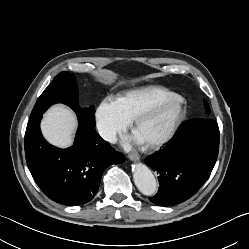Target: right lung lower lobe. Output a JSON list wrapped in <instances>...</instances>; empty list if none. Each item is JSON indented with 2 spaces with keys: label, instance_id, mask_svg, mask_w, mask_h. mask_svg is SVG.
<instances>
[{
  "label": "right lung lower lobe",
  "instance_id": "right-lung-lower-lobe-1",
  "mask_svg": "<svg viewBox=\"0 0 249 249\" xmlns=\"http://www.w3.org/2000/svg\"><path fill=\"white\" fill-rule=\"evenodd\" d=\"M42 114L30 118L25 133V156L40 189L53 201L64 205L85 204L93 199L104 170L125 161L95 130L78 118L73 146L60 149L41 134Z\"/></svg>",
  "mask_w": 249,
  "mask_h": 249
}]
</instances>
